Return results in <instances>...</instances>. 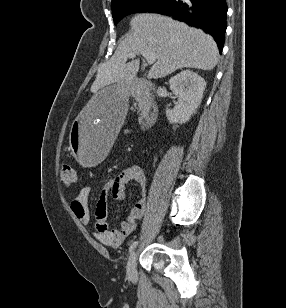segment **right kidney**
I'll return each mask as SVG.
<instances>
[{"mask_svg": "<svg viewBox=\"0 0 286 308\" xmlns=\"http://www.w3.org/2000/svg\"><path fill=\"white\" fill-rule=\"evenodd\" d=\"M169 85L178 101L172 110H166V117L171 124L186 123L201 104L206 82L197 73L185 70L173 76Z\"/></svg>", "mask_w": 286, "mask_h": 308, "instance_id": "1", "label": "right kidney"}]
</instances>
